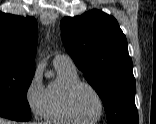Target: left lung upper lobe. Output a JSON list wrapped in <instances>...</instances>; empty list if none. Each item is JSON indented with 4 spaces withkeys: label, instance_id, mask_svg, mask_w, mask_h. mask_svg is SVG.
<instances>
[{
    "label": "left lung upper lobe",
    "instance_id": "left-lung-upper-lobe-1",
    "mask_svg": "<svg viewBox=\"0 0 156 124\" xmlns=\"http://www.w3.org/2000/svg\"><path fill=\"white\" fill-rule=\"evenodd\" d=\"M61 30L65 49L101 98L108 124H138L132 60L117 20L91 10L63 18Z\"/></svg>",
    "mask_w": 156,
    "mask_h": 124
}]
</instances>
